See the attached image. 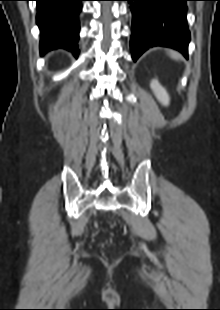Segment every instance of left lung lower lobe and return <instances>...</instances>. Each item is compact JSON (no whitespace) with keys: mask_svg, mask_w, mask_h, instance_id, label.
<instances>
[{"mask_svg":"<svg viewBox=\"0 0 220 310\" xmlns=\"http://www.w3.org/2000/svg\"><path fill=\"white\" fill-rule=\"evenodd\" d=\"M132 3V58L136 61L154 46L170 47L188 57L190 32L187 4L190 0H127Z\"/></svg>","mask_w":220,"mask_h":310,"instance_id":"obj_1","label":"left lung lower lobe"}]
</instances>
